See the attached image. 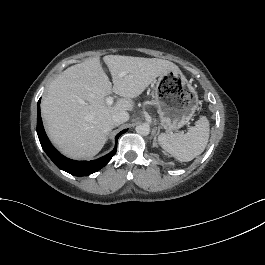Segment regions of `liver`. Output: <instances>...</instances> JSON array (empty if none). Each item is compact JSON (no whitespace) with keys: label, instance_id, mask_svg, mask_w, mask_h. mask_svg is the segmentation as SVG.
Instances as JSON below:
<instances>
[{"label":"liver","instance_id":"6515ba94","mask_svg":"<svg viewBox=\"0 0 265 265\" xmlns=\"http://www.w3.org/2000/svg\"><path fill=\"white\" fill-rule=\"evenodd\" d=\"M103 60L112 75L113 87L100 58L94 57L59 74L42 98L41 114L47 135L62 154L72 159L98 154L115 126L113 113L131 111V99L158 76L180 72L174 63L157 58L106 55ZM122 72H126L123 77ZM112 92L123 97L113 106L105 101Z\"/></svg>","mask_w":265,"mask_h":265}]
</instances>
